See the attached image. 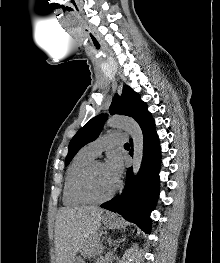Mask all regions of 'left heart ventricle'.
I'll return each instance as SVG.
<instances>
[{
	"label": "left heart ventricle",
	"mask_w": 220,
	"mask_h": 263,
	"mask_svg": "<svg viewBox=\"0 0 220 263\" xmlns=\"http://www.w3.org/2000/svg\"><path fill=\"white\" fill-rule=\"evenodd\" d=\"M89 183L95 195L104 196L114 188L117 182L108 175L105 165L98 163L92 171Z\"/></svg>",
	"instance_id": "left-heart-ventricle-1"
}]
</instances>
